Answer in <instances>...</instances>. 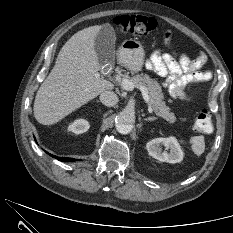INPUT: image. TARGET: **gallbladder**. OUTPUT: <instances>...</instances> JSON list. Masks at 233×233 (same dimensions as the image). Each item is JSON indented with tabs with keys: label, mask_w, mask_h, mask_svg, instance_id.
I'll return each mask as SVG.
<instances>
[{
	"label": "gallbladder",
	"mask_w": 233,
	"mask_h": 233,
	"mask_svg": "<svg viewBox=\"0 0 233 233\" xmlns=\"http://www.w3.org/2000/svg\"><path fill=\"white\" fill-rule=\"evenodd\" d=\"M116 35L114 29L109 24H104L94 38V48L98 60L104 63L115 56Z\"/></svg>",
	"instance_id": "1"
}]
</instances>
